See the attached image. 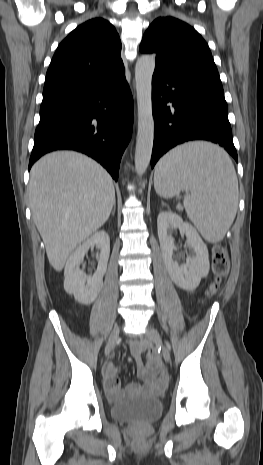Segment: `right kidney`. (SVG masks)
<instances>
[{
	"mask_svg": "<svg viewBox=\"0 0 263 465\" xmlns=\"http://www.w3.org/2000/svg\"><path fill=\"white\" fill-rule=\"evenodd\" d=\"M96 246L100 249L98 266L96 272L88 277L80 264L88 250ZM110 255V239L105 231L96 232L93 236L83 242L69 257L64 270V289L73 294L75 299L85 305L95 301L103 286V276L107 270Z\"/></svg>",
	"mask_w": 263,
	"mask_h": 465,
	"instance_id": "1",
	"label": "right kidney"
}]
</instances>
